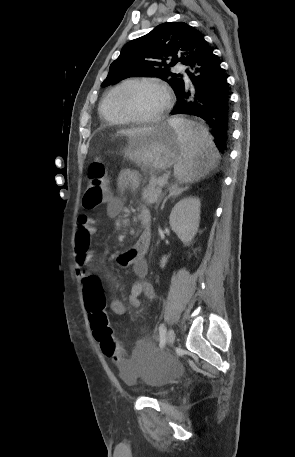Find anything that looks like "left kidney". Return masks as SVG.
<instances>
[{
	"label": "left kidney",
	"mask_w": 295,
	"mask_h": 457,
	"mask_svg": "<svg viewBox=\"0 0 295 457\" xmlns=\"http://www.w3.org/2000/svg\"><path fill=\"white\" fill-rule=\"evenodd\" d=\"M201 203L198 198L187 197L180 200L172 209L169 223L171 229L177 234L178 238L189 245L194 239L200 223ZM167 262V257L163 256L161 267Z\"/></svg>",
	"instance_id": "left-kidney-1"
}]
</instances>
